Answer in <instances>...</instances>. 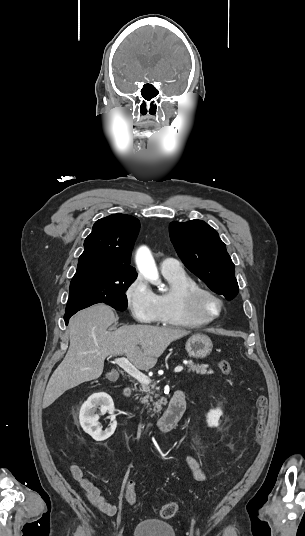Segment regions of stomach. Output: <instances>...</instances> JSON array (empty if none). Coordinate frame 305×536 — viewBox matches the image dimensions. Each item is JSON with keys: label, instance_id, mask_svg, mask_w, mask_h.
<instances>
[{"label": "stomach", "instance_id": "stomach-1", "mask_svg": "<svg viewBox=\"0 0 305 536\" xmlns=\"http://www.w3.org/2000/svg\"><path fill=\"white\" fill-rule=\"evenodd\" d=\"M212 348L213 344L210 338L204 336V334H195V336H191L185 344V350H187L191 358H206V356L211 354Z\"/></svg>", "mask_w": 305, "mask_h": 536}]
</instances>
